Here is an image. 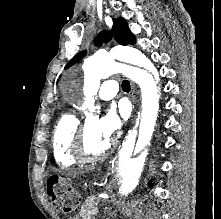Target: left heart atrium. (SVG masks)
Masks as SVG:
<instances>
[{
	"label": "left heart atrium",
	"mask_w": 221,
	"mask_h": 219,
	"mask_svg": "<svg viewBox=\"0 0 221 219\" xmlns=\"http://www.w3.org/2000/svg\"><path fill=\"white\" fill-rule=\"evenodd\" d=\"M121 120L115 110L110 109L98 121V129L103 137L110 140L115 132L120 128Z\"/></svg>",
	"instance_id": "1"
}]
</instances>
